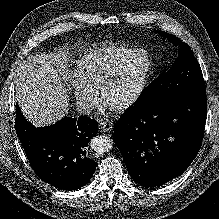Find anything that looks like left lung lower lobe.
<instances>
[{
    "mask_svg": "<svg viewBox=\"0 0 219 219\" xmlns=\"http://www.w3.org/2000/svg\"><path fill=\"white\" fill-rule=\"evenodd\" d=\"M206 110V91L196 90L121 115L114 143L137 184L159 187L184 173L202 145Z\"/></svg>",
    "mask_w": 219,
    "mask_h": 219,
    "instance_id": "1",
    "label": "left lung lower lobe"
}]
</instances>
